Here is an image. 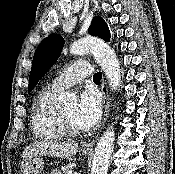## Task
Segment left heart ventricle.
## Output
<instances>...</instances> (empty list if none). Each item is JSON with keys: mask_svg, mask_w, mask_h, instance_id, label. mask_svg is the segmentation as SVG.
I'll list each match as a JSON object with an SVG mask.
<instances>
[{"mask_svg": "<svg viewBox=\"0 0 175 174\" xmlns=\"http://www.w3.org/2000/svg\"><path fill=\"white\" fill-rule=\"evenodd\" d=\"M76 104H70L62 108V111L71 125L77 130H83L77 123L75 118Z\"/></svg>", "mask_w": 175, "mask_h": 174, "instance_id": "b2bd125f", "label": "left heart ventricle"}]
</instances>
